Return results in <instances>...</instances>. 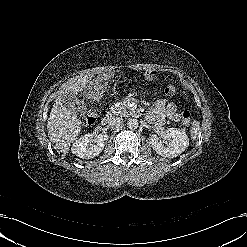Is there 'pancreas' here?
Masks as SVG:
<instances>
[{"label": "pancreas", "mask_w": 247, "mask_h": 247, "mask_svg": "<svg viewBox=\"0 0 247 247\" xmlns=\"http://www.w3.org/2000/svg\"><path fill=\"white\" fill-rule=\"evenodd\" d=\"M133 102L137 103L138 101L134 98L126 97L123 101L114 104L111 108V111L116 115H120L121 117L135 115V111L129 107L130 103Z\"/></svg>", "instance_id": "cf45deb5"}]
</instances>
